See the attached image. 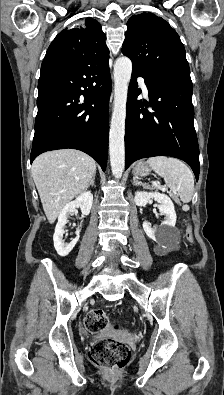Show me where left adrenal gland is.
Segmentation results:
<instances>
[{"label":"left adrenal gland","mask_w":224,"mask_h":395,"mask_svg":"<svg viewBox=\"0 0 224 395\" xmlns=\"http://www.w3.org/2000/svg\"><path fill=\"white\" fill-rule=\"evenodd\" d=\"M133 185H142L144 188L148 187L147 184L142 183L141 181H139V180L137 179V177H133Z\"/></svg>","instance_id":"obj_1"}]
</instances>
